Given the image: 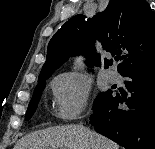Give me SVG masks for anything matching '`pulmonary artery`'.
Listing matches in <instances>:
<instances>
[{"label":"pulmonary artery","instance_id":"1","mask_svg":"<svg viewBox=\"0 0 155 149\" xmlns=\"http://www.w3.org/2000/svg\"><path fill=\"white\" fill-rule=\"evenodd\" d=\"M107 78L112 83H116V82H118L120 80V76H119L118 72L114 71V70L109 71L107 73Z\"/></svg>","mask_w":155,"mask_h":149}]
</instances>
